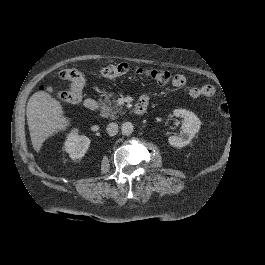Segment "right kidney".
I'll list each match as a JSON object with an SVG mask.
<instances>
[{
  "label": "right kidney",
  "instance_id": "1",
  "mask_svg": "<svg viewBox=\"0 0 265 265\" xmlns=\"http://www.w3.org/2000/svg\"><path fill=\"white\" fill-rule=\"evenodd\" d=\"M90 145V140L85 136L70 135L66 142V150L72 159L84 157Z\"/></svg>",
  "mask_w": 265,
  "mask_h": 265
}]
</instances>
